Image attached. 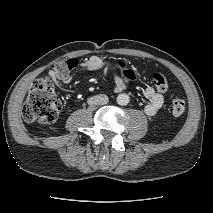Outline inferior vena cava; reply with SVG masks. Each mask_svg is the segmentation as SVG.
I'll return each mask as SVG.
<instances>
[{"label": "inferior vena cava", "mask_w": 213, "mask_h": 213, "mask_svg": "<svg viewBox=\"0 0 213 213\" xmlns=\"http://www.w3.org/2000/svg\"><path fill=\"white\" fill-rule=\"evenodd\" d=\"M109 101L108 96L105 94H99L88 99L89 105H105Z\"/></svg>", "instance_id": "1"}]
</instances>
